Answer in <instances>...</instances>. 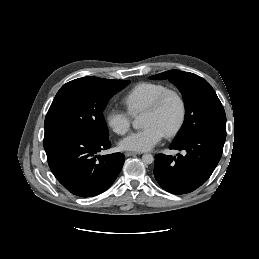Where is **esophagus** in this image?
I'll return each mask as SVG.
<instances>
[{
  "label": "esophagus",
  "instance_id": "1",
  "mask_svg": "<svg viewBox=\"0 0 259 259\" xmlns=\"http://www.w3.org/2000/svg\"><path fill=\"white\" fill-rule=\"evenodd\" d=\"M141 153L139 152H125V156L129 157V156H133V155H139Z\"/></svg>",
  "mask_w": 259,
  "mask_h": 259
}]
</instances>
